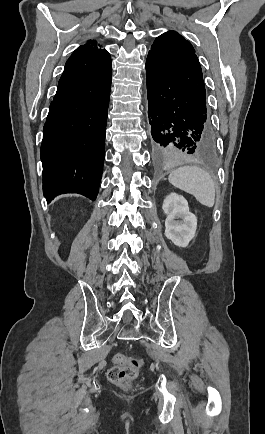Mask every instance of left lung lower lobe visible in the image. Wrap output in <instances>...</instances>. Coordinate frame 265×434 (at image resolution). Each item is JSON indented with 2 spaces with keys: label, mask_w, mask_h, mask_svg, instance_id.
Returning <instances> with one entry per match:
<instances>
[{
  "label": "left lung lower lobe",
  "mask_w": 265,
  "mask_h": 434,
  "mask_svg": "<svg viewBox=\"0 0 265 434\" xmlns=\"http://www.w3.org/2000/svg\"><path fill=\"white\" fill-rule=\"evenodd\" d=\"M150 142L157 154H208L215 133L206 103L195 96L169 69L148 55L146 61Z\"/></svg>",
  "instance_id": "1"
}]
</instances>
